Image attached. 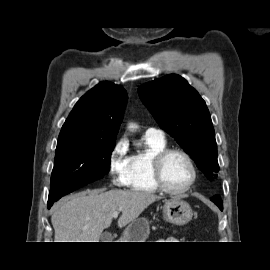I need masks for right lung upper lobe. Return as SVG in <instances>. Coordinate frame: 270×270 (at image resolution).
<instances>
[{"label":"right lung upper lobe","instance_id":"cb5924a9","mask_svg":"<svg viewBox=\"0 0 270 270\" xmlns=\"http://www.w3.org/2000/svg\"><path fill=\"white\" fill-rule=\"evenodd\" d=\"M127 103L126 90L101 82L75 104L59 138L115 141Z\"/></svg>","mask_w":270,"mask_h":270}]
</instances>
